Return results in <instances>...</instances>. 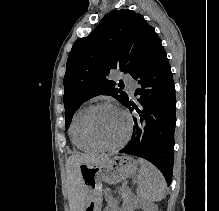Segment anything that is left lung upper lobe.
I'll return each instance as SVG.
<instances>
[{"label":"left lung upper lobe","mask_w":219,"mask_h":211,"mask_svg":"<svg viewBox=\"0 0 219 211\" xmlns=\"http://www.w3.org/2000/svg\"><path fill=\"white\" fill-rule=\"evenodd\" d=\"M164 48L153 27L128 9L107 14L87 37L78 39L67 60L64 76L66 129L74 112L87 100L110 95L120 103L128 98L123 82L108 79L113 70L132 77L144 71Z\"/></svg>","instance_id":"1"}]
</instances>
